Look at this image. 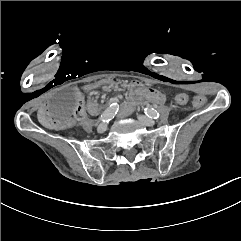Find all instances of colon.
Masks as SVG:
<instances>
[{"label":"colon","instance_id":"obj_1","mask_svg":"<svg viewBox=\"0 0 241 241\" xmlns=\"http://www.w3.org/2000/svg\"><path fill=\"white\" fill-rule=\"evenodd\" d=\"M76 96L77 100V107L75 109V112L73 113V116L75 117V120L77 122H82L84 120V114H85V107H84V100L81 95H79L77 92L74 94ZM176 101L180 106H187L189 104V96L186 92H178L176 94ZM193 104L197 108H202L205 105V100L202 95H195L193 97Z\"/></svg>","mask_w":241,"mask_h":241}]
</instances>
